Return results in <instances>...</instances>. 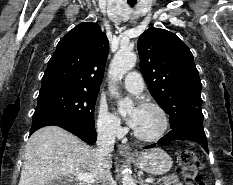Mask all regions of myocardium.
<instances>
[{
	"label": "myocardium",
	"instance_id": "1",
	"mask_svg": "<svg viewBox=\"0 0 233 185\" xmlns=\"http://www.w3.org/2000/svg\"><path fill=\"white\" fill-rule=\"evenodd\" d=\"M140 108H152L155 109L156 111H158L162 117V127L160 128V130L152 135V136H142L140 134H138L134 128H133V136L142 142H146V143H152V142H156L158 140H160L168 131L169 126H170V119H169V115L167 113V111L158 103L155 102H151V101H146L143 102L140 105Z\"/></svg>",
	"mask_w": 233,
	"mask_h": 185
}]
</instances>
